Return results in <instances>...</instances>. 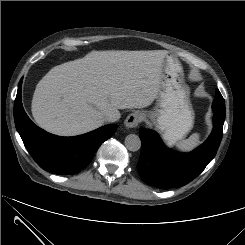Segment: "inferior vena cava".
Masks as SVG:
<instances>
[{
  "mask_svg": "<svg viewBox=\"0 0 245 245\" xmlns=\"http://www.w3.org/2000/svg\"><path fill=\"white\" fill-rule=\"evenodd\" d=\"M120 118V113L118 111H109L103 116L104 122H115Z\"/></svg>",
  "mask_w": 245,
  "mask_h": 245,
  "instance_id": "1",
  "label": "inferior vena cava"
}]
</instances>
